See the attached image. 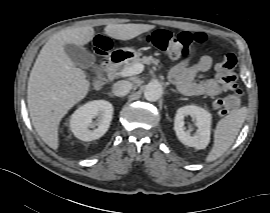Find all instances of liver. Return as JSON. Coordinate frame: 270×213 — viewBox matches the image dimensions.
Returning <instances> with one entry per match:
<instances>
[{
    "label": "liver",
    "instance_id": "obj_1",
    "mask_svg": "<svg viewBox=\"0 0 270 213\" xmlns=\"http://www.w3.org/2000/svg\"><path fill=\"white\" fill-rule=\"evenodd\" d=\"M148 24H109L105 34L130 40L154 29ZM91 26L64 29L54 34L41 49L31 70L27 102L32 124L41 139L52 149L59 147V124L68 111L90 90V81L67 56L64 46H83L94 37Z\"/></svg>",
    "mask_w": 270,
    "mask_h": 213
}]
</instances>
